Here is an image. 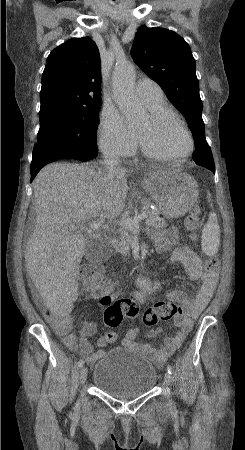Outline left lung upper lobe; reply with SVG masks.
Instances as JSON below:
<instances>
[{"instance_id":"obj_1","label":"left lung upper lobe","mask_w":245,"mask_h":450,"mask_svg":"<svg viewBox=\"0 0 245 450\" xmlns=\"http://www.w3.org/2000/svg\"><path fill=\"white\" fill-rule=\"evenodd\" d=\"M131 56L186 117L193 133L195 148L208 146L195 59L188 43L171 30L141 26L136 33ZM194 154L198 155L199 151L196 153L195 150ZM211 157L210 153L199 158L193 156V160L197 164H208Z\"/></svg>"}]
</instances>
